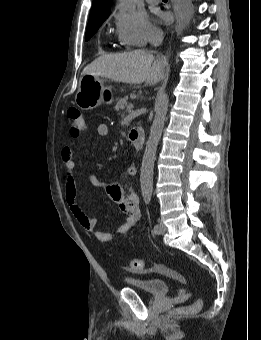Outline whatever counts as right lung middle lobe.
<instances>
[{"mask_svg":"<svg viewBox=\"0 0 261 340\" xmlns=\"http://www.w3.org/2000/svg\"><path fill=\"white\" fill-rule=\"evenodd\" d=\"M105 19L106 18L99 19L88 24L85 36L86 41L89 40L97 32V30L99 29L101 24L105 21Z\"/></svg>","mask_w":261,"mask_h":340,"instance_id":"obj_1","label":"right lung middle lobe"}]
</instances>
